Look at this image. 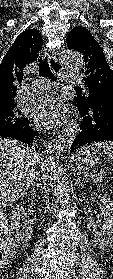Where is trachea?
Here are the masks:
<instances>
[{"instance_id":"obj_1","label":"trachea","mask_w":113,"mask_h":279,"mask_svg":"<svg viewBox=\"0 0 113 279\" xmlns=\"http://www.w3.org/2000/svg\"><path fill=\"white\" fill-rule=\"evenodd\" d=\"M39 75L41 77H48L52 80H57L54 74H52V72L50 71L49 64L46 57L44 58L40 57L39 59Z\"/></svg>"}]
</instances>
